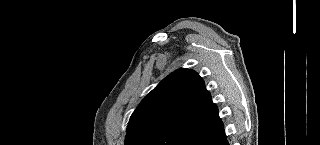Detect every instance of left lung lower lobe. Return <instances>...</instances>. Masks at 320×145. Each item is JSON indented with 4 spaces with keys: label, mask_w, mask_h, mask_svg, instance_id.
I'll return each mask as SVG.
<instances>
[{
    "label": "left lung lower lobe",
    "mask_w": 320,
    "mask_h": 145,
    "mask_svg": "<svg viewBox=\"0 0 320 145\" xmlns=\"http://www.w3.org/2000/svg\"><path fill=\"white\" fill-rule=\"evenodd\" d=\"M178 145H229L217 107L204 123L187 133Z\"/></svg>",
    "instance_id": "obj_1"
}]
</instances>
